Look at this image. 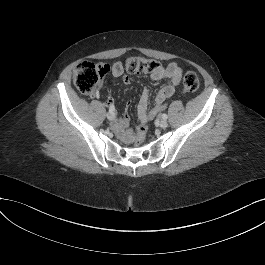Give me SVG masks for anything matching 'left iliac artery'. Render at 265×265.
Here are the masks:
<instances>
[{
  "mask_svg": "<svg viewBox=\"0 0 265 265\" xmlns=\"http://www.w3.org/2000/svg\"><path fill=\"white\" fill-rule=\"evenodd\" d=\"M162 118H163L164 120H166V119L168 118V116H167L166 114H163V115H162Z\"/></svg>",
  "mask_w": 265,
  "mask_h": 265,
  "instance_id": "obj_1",
  "label": "left iliac artery"
}]
</instances>
